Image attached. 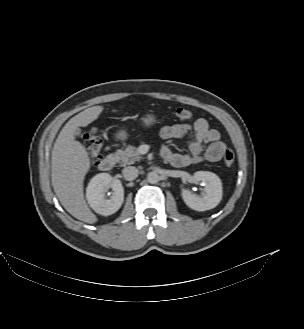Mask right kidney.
Returning a JSON list of instances; mask_svg holds the SVG:
<instances>
[{"label": "right kidney", "mask_w": 304, "mask_h": 329, "mask_svg": "<svg viewBox=\"0 0 304 329\" xmlns=\"http://www.w3.org/2000/svg\"><path fill=\"white\" fill-rule=\"evenodd\" d=\"M108 188H112V195L105 198ZM86 198L90 207L98 214L108 216L121 207L124 201V189L119 179L108 173H99L89 182L86 189Z\"/></svg>", "instance_id": "obj_1"}]
</instances>
